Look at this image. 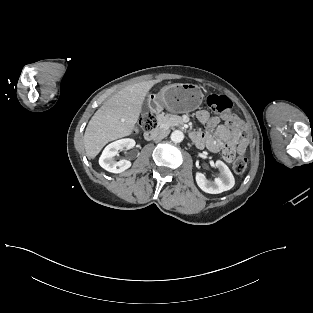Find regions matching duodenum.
<instances>
[{
	"instance_id": "obj_1",
	"label": "duodenum",
	"mask_w": 313,
	"mask_h": 313,
	"mask_svg": "<svg viewBox=\"0 0 313 313\" xmlns=\"http://www.w3.org/2000/svg\"><path fill=\"white\" fill-rule=\"evenodd\" d=\"M158 130H151L145 133V138L147 140L155 139L158 136Z\"/></svg>"
}]
</instances>
